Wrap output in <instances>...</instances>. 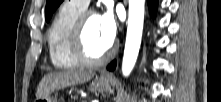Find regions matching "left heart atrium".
Wrapping results in <instances>:
<instances>
[{"label":"left heart atrium","mask_w":221,"mask_h":102,"mask_svg":"<svg viewBox=\"0 0 221 102\" xmlns=\"http://www.w3.org/2000/svg\"><path fill=\"white\" fill-rule=\"evenodd\" d=\"M98 19L102 37L112 44L117 33V23L113 12L111 10H107L99 16Z\"/></svg>","instance_id":"39dd6f15"}]
</instances>
